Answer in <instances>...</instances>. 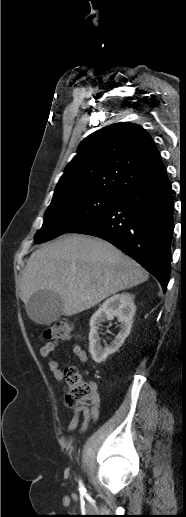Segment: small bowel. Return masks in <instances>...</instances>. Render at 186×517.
Listing matches in <instances>:
<instances>
[{
    "instance_id": "c3829d8e",
    "label": "small bowel",
    "mask_w": 186,
    "mask_h": 517,
    "mask_svg": "<svg viewBox=\"0 0 186 517\" xmlns=\"http://www.w3.org/2000/svg\"><path fill=\"white\" fill-rule=\"evenodd\" d=\"M60 341H52L47 342L40 348V356L44 359H47L48 366L50 368V371L54 375V377L58 381H62L63 379V371L59 365V363L52 358V353L54 350L58 347ZM72 351L74 355L78 358L79 362L82 364H85L88 360V356L86 352L82 349V347L75 343L72 347ZM95 389L96 385L94 384ZM95 403L91 407H78L74 411V415L72 416L69 424H68V432H73L79 425L81 416L83 417V421L81 424V431L84 432L90 423L97 420L99 415V404L97 400V394L95 392Z\"/></svg>"
}]
</instances>
